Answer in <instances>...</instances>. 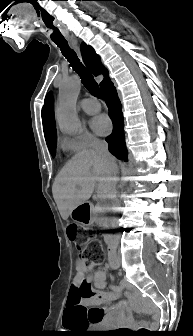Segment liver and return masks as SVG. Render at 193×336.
<instances>
[{
	"label": "liver",
	"instance_id": "6515ba94",
	"mask_svg": "<svg viewBox=\"0 0 193 336\" xmlns=\"http://www.w3.org/2000/svg\"><path fill=\"white\" fill-rule=\"evenodd\" d=\"M117 170L116 159L105 160L94 149L78 152L61 169L52 186L53 198L63 220L71 211L85 203L95 188L101 197H107L108 180Z\"/></svg>",
	"mask_w": 193,
	"mask_h": 336
}]
</instances>
